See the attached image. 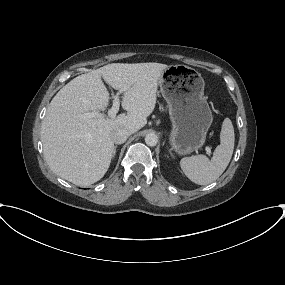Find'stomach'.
<instances>
[{
	"label": "stomach",
	"instance_id": "1",
	"mask_svg": "<svg viewBox=\"0 0 285 285\" xmlns=\"http://www.w3.org/2000/svg\"><path fill=\"white\" fill-rule=\"evenodd\" d=\"M159 85L172 123L171 149L187 155L202 148L213 117L201 74L184 65H170L162 72Z\"/></svg>",
	"mask_w": 285,
	"mask_h": 285
}]
</instances>
